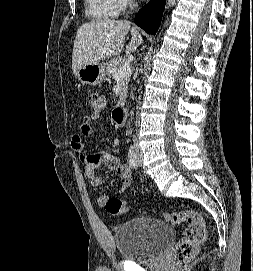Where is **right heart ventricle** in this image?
<instances>
[{
    "instance_id": "1",
    "label": "right heart ventricle",
    "mask_w": 253,
    "mask_h": 271,
    "mask_svg": "<svg viewBox=\"0 0 253 271\" xmlns=\"http://www.w3.org/2000/svg\"><path fill=\"white\" fill-rule=\"evenodd\" d=\"M87 14L96 20H106L117 17L119 7L114 0H85Z\"/></svg>"
}]
</instances>
